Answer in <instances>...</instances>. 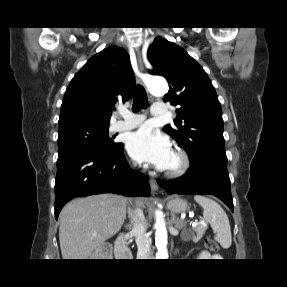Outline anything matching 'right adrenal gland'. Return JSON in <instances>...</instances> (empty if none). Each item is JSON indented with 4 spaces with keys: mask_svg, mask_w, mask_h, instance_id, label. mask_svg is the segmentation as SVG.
Returning <instances> with one entry per match:
<instances>
[{
    "mask_svg": "<svg viewBox=\"0 0 287 287\" xmlns=\"http://www.w3.org/2000/svg\"><path fill=\"white\" fill-rule=\"evenodd\" d=\"M125 227H126L127 229L131 230L132 225H131V224H127V225H125Z\"/></svg>",
    "mask_w": 287,
    "mask_h": 287,
    "instance_id": "right-adrenal-gland-1",
    "label": "right adrenal gland"
}]
</instances>
